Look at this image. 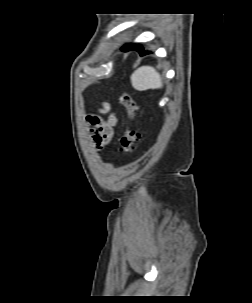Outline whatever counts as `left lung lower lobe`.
Listing matches in <instances>:
<instances>
[{
    "label": "left lung lower lobe",
    "instance_id": "obj_1",
    "mask_svg": "<svg viewBox=\"0 0 252 303\" xmlns=\"http://www.w3.org/2000/svg\"><path fill=\"white\" fill-rule=\"evenodd\" d=\"M129 48H130L131 50H136V51H138V52L140 53L141 56L150 53L149 51H144L143 48H142V46H141V45H138V44L124 45L121 49H122L123 51H128Z\"/></svg>",
    "mask_w": 252,
    "mask_h": 303
}]
</instances>
